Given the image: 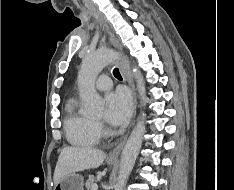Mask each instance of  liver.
Listing matches in <instances>:
<instances>
[{"mask_svg":"<svg viewBox=\"0 0 234 190\" xmlns=\"http://www.w3.org/2000/svg\"><path fill=\"white\" fill-rule=\"evenodd\" d=\"M106 154L91 147H72L68 146L62 149L54 172V184L57 183L69 173L84 171L99 167Z\"/></svg>","mask_w":234,"mask_h":190,"instance_id":"6515ba94","label":"liver"}]
</instances>
